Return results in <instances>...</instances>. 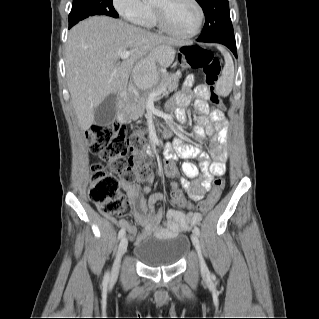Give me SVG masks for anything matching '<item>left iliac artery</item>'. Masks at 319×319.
Listing matches in <instances>:
<instances>
[{"mask_svg": "<svg viewBox=\"0 0 319 319\" xmlns=\"http://www.w3.org/2000/svg\"><path fill=\"white\" fill-rule=\"evenodd\" d=\"M193 232H194V233H196L197 235H199V234H200V230H199V228H198V227H195Z\"/></svg>", "mask_w": 319, "mask_h": 319, "instance_id": "left-iliac-artery-1", "label": "left iliac artery"}]
</instances>
